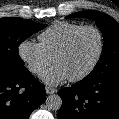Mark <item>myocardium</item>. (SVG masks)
Segmentation results:
<instances>
[{
  "mask_svg": "<svg viewBox=\"0 0 119 119\" xmlns=\"http://www.w3.org/2000/svg\"><path fill=\"white\" fill-rule=\"evenodd\" d=\"M87 30H92L94 32H96V34L98 35L99 38V48H98V52L96 54L95 59L93 60V62L90 64V66L81 74L71 77L68 80L71 82H79L84 80L85 78H87L97 67V65L99 64L103 52H104V36L103 33L101 32V30L99 28H97L96 26L93 25H85L82 26L81 28H79L78 30H76L69 38L68 40L65 42V44L57 51V53L55 54V56L53 57V63L55 64L57 59L60 58L61 56H63L64 54H66L72 47L73 43L75 42L76 38L84 31Z\"/></svg>",
  "mask_w": 119,
  "mask_h": 119,
  "instance_id": "obj_1",
  "label": "myocardium"
}]
</instances>
